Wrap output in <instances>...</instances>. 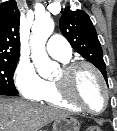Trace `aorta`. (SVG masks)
<instances>
[{"label":"aorta","mask_w":117,"mask_h":131,"mask_svg":"<svg viewBox=\"0 0 117 131\" xmlns=\"http://www.w3.org/2000/svg\"><path fill=\"white\" fill-rule=\"evenodd\" d=\"M54 30V21L50 17H38L32 26L30 46L31 58L38 74L43 78L51 76L57 64L47 55L45 44Z\"/></svg>","instance_id":"762f6f07"}]
</instances>
